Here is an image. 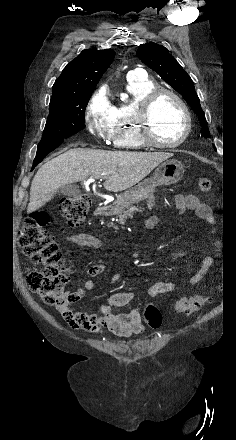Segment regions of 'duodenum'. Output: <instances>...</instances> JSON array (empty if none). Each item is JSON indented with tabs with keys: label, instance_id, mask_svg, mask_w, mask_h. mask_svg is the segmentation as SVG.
I'll use <instances>...</instances> for the list:
<instances>
[{
	"label": "duodenum",
	"instance_id": "duodenum-1",
	"mask_svg": "<svg viewBox=\"0 0 236 440\" xmlns=\"http://www.w3.org/2000/svg\"><path fill=\"white\" fill-rule=\"evenodd\" d=\"M113 210V205L111 204H102L99 205L95 211H94V216L95 217H102L107 215L108 213H110Z\"/></svg>",
	"mask_w": 236,
	"mask_h": 440
}]
</instances>
